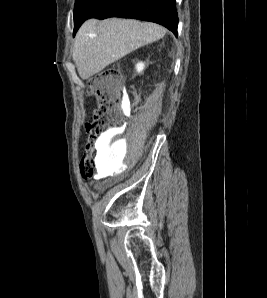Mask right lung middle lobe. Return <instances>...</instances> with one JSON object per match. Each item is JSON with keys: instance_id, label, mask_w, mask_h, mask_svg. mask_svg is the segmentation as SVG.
Listing matches in <instances>:
<instances>
[{"instance_id": "obj_1", "label": "right lung middle lobe", "mask_w": 267, "mask_h": 298, "mask_svg": "<svg viewBox=\"0 0 267 298\" xmlns=\"http://www.w3.org/2000/svg\"><path fill=\"white\" fill-rule=\"evenodd\" d=\"M102 0H76L74 8V28L83 23Z\"/></svg>"}]
</instances>
